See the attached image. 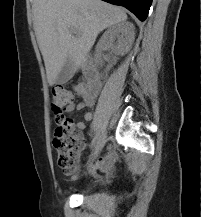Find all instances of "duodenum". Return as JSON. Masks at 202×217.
<instances>
[{
  "label": "duodenum",
  "mask_w": 202,
  "mask_h": 217,
  "mask_svg": "<svg viewBox=\"0 0 202 217\" xmlns=\"http://www.w3.org/2000/svg\"><path fill=\"white\" fill-rule=\"evenodd\" d=\"M85 87L89 94L98 93L100 88V80L98 78V74L89 66V63L87 65V83Z\"/></svg>",
  "instance_id": "1"
}]
</instances>
